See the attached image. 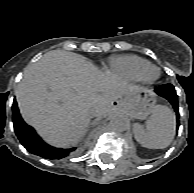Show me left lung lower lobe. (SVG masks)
Returning a JSON list of instances; mask_svg holds the SVG:
<instances>
[{
  "instance_id": "obj_1",
  "label": "left lung lower lobe",
  "mask_w": 194,
  "mask_h": 193,
  "mask_svg": "<svg viewBox=\"0 0 194 193\" xmlns=\"http://www.w3.org/2000/svg\"><path fill=\"white\" fill-rule=\"evenodd\" d=\"M155 92L158 95L166 98L172 104V106L176 112L177 119H178L179 118V111H178L177 94L175 92L173 85H171V84L161 85L160 87L155 89Z\"/></svg>"
}]
</instances>
